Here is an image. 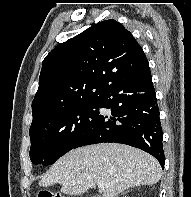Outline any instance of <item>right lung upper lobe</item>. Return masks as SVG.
<instances>
[{
  "instance_id": "cb5924a9",
  "label": "right lung upper lobe",
  "mask_w": 191,
  "mask_h": 197,
  "mask_svg": "<svg viewBox=\"0 0 191 197\" xmlns=\"http://www.w3.org/2000/svg\"><path fill=\"white\" fill-rule=\"evenodd\" d=\"M147 65L141 46L119 22L93 25L43 60L30 129L73 106L98 101L108 87Z\"/></svg>"
}]
</instances>
